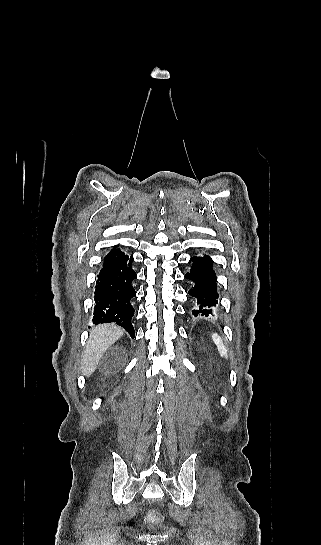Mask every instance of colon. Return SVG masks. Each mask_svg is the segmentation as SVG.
Segmentation results:
<instances>
[{"label":"colon","instance_id":"5ec220e1","mask_svg":"<svg viewBox=\"0 0 321 545\" xmlns=\"http://www.w3.org/2000/svg\"><path fill=\"white\" fill-rule=\"evenodd\" d=\"M149 519H150L151 521H157V520H158V517H157L154 513H151V514L149 515Z\"/></svg>","mask_w":321,"mask_h":545}]
</instances>
